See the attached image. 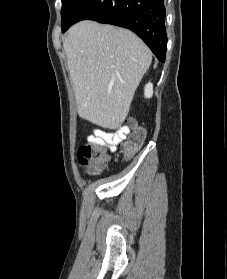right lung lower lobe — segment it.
<instances>
[{"label":"right lung lower lobe","instance_id":"1","mask_svg":"<svg viewBox=\"0 0 227 279\" xmlns=\"http://www.w3.org/2000/svg\"><path fill=\"white\" fill-rule=\"evenodd\" d=\"M164 0H84L72 25L94 20L132 30L151 49L159 61H165L167 34Z\"/></svg>","mask_w":227,"mask_h":279}]
</instances>
